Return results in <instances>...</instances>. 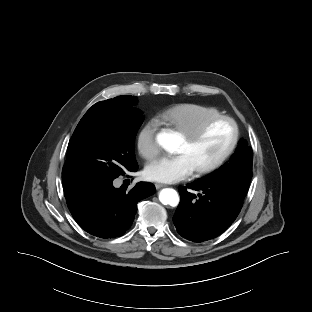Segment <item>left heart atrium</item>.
I'll list each match as a JSON object with an SVG mask.
<instances>
[{"instance_id":"obj_1","label":"left heart atrium","mask_w":312,"mask_h":312,"mask_svg":"<svg viewBox=\"0 0 312 312\" xmlns=\"http://www.w3.org/2000/svg\"><path fill=\"white\" fill-rule=\"evenodd\" d=\"M195 170L188 156L184 153L164 156L149 164L144 175L155 182L174 183L190 176Z\"/></svg>"}]
</instances>
